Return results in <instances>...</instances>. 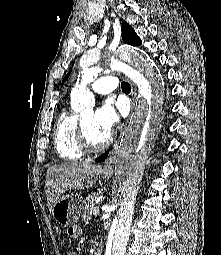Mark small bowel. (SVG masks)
<instances>
[{
  "label": "small bowel",
  "instance_id": "small-bowel-1",
  "mask_svg": "<svg viewBox=\"0 0 221 255\" xmlns=\"http://www.w3.org/2000/svg\"><path fill=\"white\" fill-rule=\"evenodd\" d=\"M68 235L71 238H79L82 235V229L79 225H73L68 229ZM68 255H76L75 252H69Z\"/></svg>",
  "mask_w": 221,
  "mask_h": 255
}]
</instances>
